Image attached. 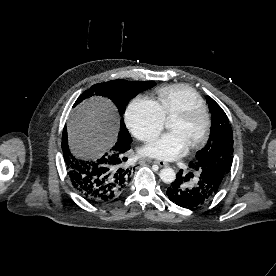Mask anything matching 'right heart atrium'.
<instances>
[{
    "mask_svg": "<svg viewBox=\"0 0 276 276\" xmlns=\"http://www.w3.org/2000/svg\"><path fill=\"white\" fill-rule=\"evenodd\" d=\"M125 119L134 136L142 141L156 137L165 125L158 104L145 97H137L129 104Z\"/></svg>",
    "mask_w": 276,
    "mask_h": 276,
    "instance_id": "d8ad5b80",
    "label": "right heart atrium"
}]
</instances>
